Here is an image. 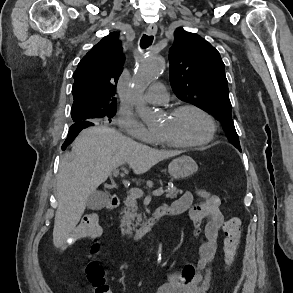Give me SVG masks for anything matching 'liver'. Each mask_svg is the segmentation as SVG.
Masks as SVG:
<instances>
[{
	"mask_svg": "<svg viewBox=\"0 0 293 293\" xmlns=\"http://www.w3.org/2000/svg\"><path fill=\"white\" fill-rule=\"evenodd\" d=\"M178 154V151H159L139 144L107 126L81 131L73 142L72 152L63 157L59 167L54 245L61 246L69 237L85 211L88 197L113 170L128 163L135 174H143Z\"/></svg>",
	"mask_w": 293,
	"mask_h": 293,
	"instance_id": "6515ba94",
	"label": "liver"
}]
</instances>
